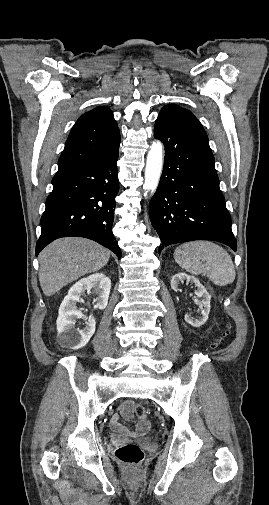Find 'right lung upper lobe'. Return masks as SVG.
Segmentation results:
<instances>
[{
  "mask_svg": "<svg viewBox=\"0 0 269 505\" xmlns=\"http://www.w3.org/2000/svg\"><path fill=\"white\" fill-rule=\"evenodd\" d=\"M120 144L113 112L105 106L83 114L74 124L58 160V170L102 156Z\"/></svg>",
  "mask_w": 269,
  "mask_h": 505,
  "instance_id": "cb5924a9",
  "label": "right lung upper lobe"
}]
</instances>
